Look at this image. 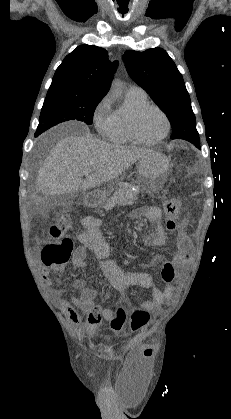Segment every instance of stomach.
I'll return each mask as SVG.
<instances>
[{"mask_svg": "<svg viewBox=\"0 0 231 419\" xmlns=\"http://www.w3.org/2000/svg\"><path fill=\"white\" fill-rule=\"evenodd\" d=\"M169 169L168 158L160 152L152 151L141 157L137 162L141 189L148 193L159 191L167 179ZM107 194L106 191L101 192L96 198V203L102 202Z\"/></svg>", "mask_w": 231, "mask_h": 419, "instance_id": "1", "label": "stomach"}]
</instances>
